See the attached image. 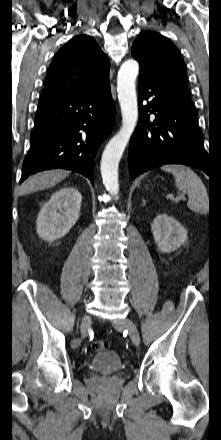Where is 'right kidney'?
I'll use <instances>...</instances> for the list:
<instances>
[{"instance_id": "right-kidney-1", "label": "right kidney", "mask_w": 221, "mask_h": 440, "mask_svg": "<svg viewBox=\"0 0 221 440\" xmlns=\"http://www.w3.org/2000/svg\"><path fill=\"white\" fill-rule=\"evenodd\" d=\"M82 196L74 187H63L52 194L37 218V233L46 241L66 235L80 215Z\"/></svg>"}]
</instances>
